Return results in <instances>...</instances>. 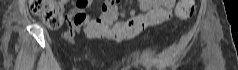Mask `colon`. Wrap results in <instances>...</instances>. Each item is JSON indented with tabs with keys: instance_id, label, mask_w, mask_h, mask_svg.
<instances>
[{
	"instance_id": "5ec220e1",
	"label": "colon",
	"mask_w": 238,
	"mask_h": 70,
	"mask_svg": "<svg viewBox=\"0 0 238 70\" xmlns=\"http://www.w3.org/2000/svg\"><path fill=\"white\" fill-rule=\"evenodd\" d=\"M114 3L115 1H109ZM30 9L42 22L51 29L59 28L64 21V13L53 0H30ZM194 0H179L174 14L180 19L190 17L194 12Z\"/></svg>"
}]
</instances>
